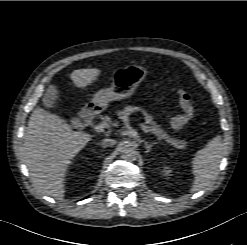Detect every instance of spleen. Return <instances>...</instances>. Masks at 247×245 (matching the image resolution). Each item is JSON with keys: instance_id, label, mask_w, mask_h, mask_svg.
Masks as SVG:
<instances>
[{"instance_id": "1", "label": "spleen", "mask_w": 247, "mask_h": 245, "mask_svg": "<svg viewBox=\"0 0 247 245\" xmlns=\"http://www.w3.org/2000/svg\"><path fill=\"white\" fill-rule=\"evenodd\" d=\"M222 148L221 137L216 136L196 153L192 160V171L194 174L192 192L205 188L215 178L222 159Z\"/></svg>"}]
</instances>
